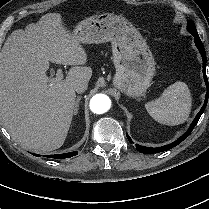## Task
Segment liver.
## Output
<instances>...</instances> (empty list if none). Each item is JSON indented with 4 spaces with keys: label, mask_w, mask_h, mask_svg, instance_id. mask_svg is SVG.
I'll list each match as a JSON object with an SVG mask.
<instances>
[{
    "label": "liver",
    "mask_w": 209,
    "mask_h": 209,
    "mask_svg": "<svg viewBox=\"0 0 209 209\" xmlns=\"http://www.w3.org/2000/svg\"><path fill=\"white\" fill-rule=\"evenodd\" d=\"M49 62L72 65L50 86ZM87 54L58 13L13 31L0 52V122L18 144L48 152L60 148L75 107V86L89 82Z\"/></svg>",
    "instance_id": "1"
}]
</instances>
